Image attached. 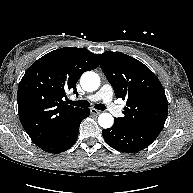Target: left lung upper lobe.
Segmentation results:
<instances>
[{"label":"left lung upper lobe","mask_w":193,"mask_h":193,"mask_svg":"<svg viewBox=\"0 0 193 193\" xmlns=\"http://www.w3.org/2000/svg\"><path fill=\"white\" fill-rule=\"evenodd\" d=\"M96 56L116 97L127 100L124 117L114 121L126 128L163 127L168 101L157 76L142 62L124 53L107 51Z\"/></svg>","instance_id":"1"}]
</instances>
